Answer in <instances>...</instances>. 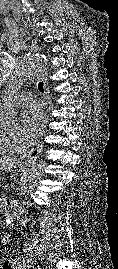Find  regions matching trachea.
I'll return each mask as SVG.
<instances>
[{"label":"trachea","instance_id":"1","mask_svg":"<svg viewBox=\"0 0 118 269\" xmlns=\"http://www.w3.org/2000/svg\"><path fill=\"white\" fill-rule=\"evenodd\" d=\"M38 89L40 92H44V85L42 82L38 83Z\"/></svg>","mask_w":118,"mask_h":269}]
</instances>
